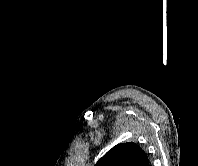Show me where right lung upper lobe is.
Segmentation results:
<instances>
[{
	"mask_svg": "<svg viewBox=\"0 0 198 166\" xmlns=\"http://www.w3.org/2000/svg\"><path fill=\"white\" fill-rule=\"evenodd\" d=\"M95 166H150L147 154L134 142L120 143Z\"/></svg>",
	"mask_w": 198,
	"mask_h": 166,
	"instance_id": "1",
	"label": "right lung upper lobe"
}]
</instances>
